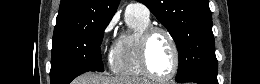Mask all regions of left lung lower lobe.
Segmentation results:
<instances>
[{"mask_svg": "<svg viewBox=\"0 0 260 84\" xmlns=\"http://www.w3.org/2000/svg\"><path fill=\"white\" fill-rule=\"evenodd\" d=\"M184 82H194L198 84H218L217 75L208 74V75H197L189 78ZM183 83V82H181Z\"/></svg>", "mask_w": 260, "mask_h": 84, "instance_id": "0a47b994", "label": "left lung lower lobe"}]
</instances>
